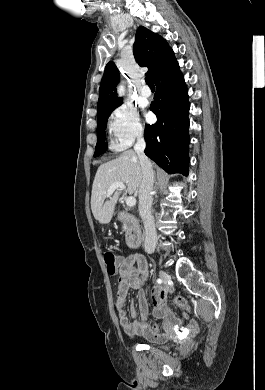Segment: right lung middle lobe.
<instances>
[{"label": "right lung middle lobe", "instance_id": "1", "mask_svg": "<svg viewBox=\"0 0 265 390\" xmlns=\"http://www.w3.org/2000/svg\"><path fill=\"white\" fill-rule=\"evenodd\" d=\"M113 110L114 109H111L103 113L101 116L97 118V145H96L94 157L99 156L107 149L106 143H104L105 129L107 124V119Z\"/></svg>", "mask_w": 265, "mask_h": 390}]
</instances>
